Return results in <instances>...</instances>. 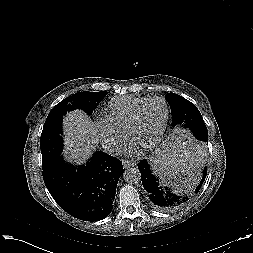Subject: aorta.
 Here are the masks:
<instances>
[{"mask_svg": "<svg viewBox=\"0 0 253 253\" xmlns=\"http://www.w3.org/2000/svg\"><path fill=\"white\" fill-rule=\"evenodd\" d=\"M123 178L128 184H136L141 180V174L137 168L132 167L125 170Z\"/></svg>", "mask_w": 253, "mask_h": 253, "instance_id": "762f6f07", "label": "aorta"}]
</instances>
